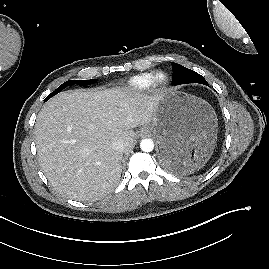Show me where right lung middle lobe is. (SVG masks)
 Returning a JSON list of instances; mask_svg holds the SVG:
<instances>
[{"label":"right lung middle lobe","mask_w":269,"mask_h":269,"mask_svg":"<svg viewBox=\"0 0 269 269\" xmlns=\"http://www.w3.org/2000/svg\"><path fill=\"white\" fill-rule=\"evenodd\" d=\"M94 82H96V79H92V80H69L65 83H63L61 86H59L55 91H53L51 94H49L45 101L49 100L52 96L56 95L57 93H59L61 90H63L64 88H66L67 86L73 85L74 83L84 86V85H90L93 84Z\"/></svg>","instance_id":"obj_1"}]
</instances>
